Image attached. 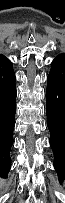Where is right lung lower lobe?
Wrapping results in <instances>:
<instances>
[{
  "mask_svg": "<svg viewBox=\"0 0 65 203\" xmlns=\"http://www.w3.org/2000/svg\"><path fill=\"white\" fill-rule=\"evenodd\" d=\"M15 74L12 65L0 66V177L7 178L11 168L10 149L13 145L16 112Z\"/></svg>",
  "mask_w": 65,
  "mask_h": 203,
  "instance_id": "1",
  "label": "right lung lower lobe"
}]
</instances>
